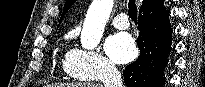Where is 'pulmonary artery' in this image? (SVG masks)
Instances as JSON below:
<instances>
[{
  "label": "pulmonary artery",
  "mask_w": 205,
  "mask_h": 87,
  "mask_svg": "<svg viewBox=\"0 0 205 87\" xmlns=\"http://www.w3.org/2000/svg\"><path fill=\"white\" fill-rule=\"evenodd\" d=\"M112 25L117 29H127L129 27L128 17L120 13L112 19Z\"/></svg>",
  "instance_id": "pulmonary-artery-1"
}]
</instances>
